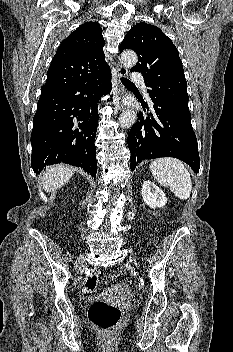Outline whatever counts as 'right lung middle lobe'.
<instances>
[{
	"label": "right lung middle lobe",
	"instance_id": "obj_1",
	"mask_svg": "<svg viewBox=\"0 0 233 352\" xmlns=\"http://www.w3.org/2000/svg\"><path fill=\"white\" fill-rule=\"evenodd\" d=\"M54 91L41 90V94L53 93Z\"/></svg>",
	"mask_w": 233,
	"mask_h": 352
}]
</instances>
